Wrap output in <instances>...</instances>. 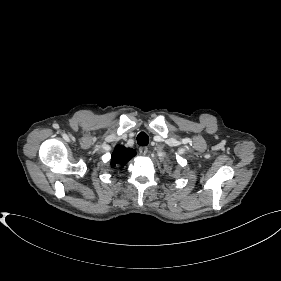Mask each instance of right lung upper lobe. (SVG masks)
Here are the masks:
<instances>
[{"instance_id":"1","label":"right lung upper lobe","mask_w":281,"mask_h":281,"mask_svg":"<svg viewBox=\"0 0 281 281\" xmlns=\"http://www.w3.org/2000/svg\"><path fill=\"white\" fill-rule=\"evenodd\" d=\"M136 155V151L131 148H125L124 146L117 145L111 156V166L117 167L119 165H125L131 158Z\"/></svg>"}]
</instances>
